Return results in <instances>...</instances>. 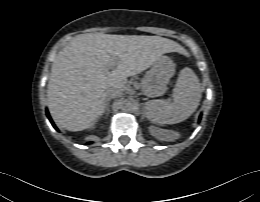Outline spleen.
Returning a JSON list of instances; mask_svg holds the SVG:
<instances>
[{
  "label": "spleen",
  "mask_w": 260,
  "mask_h": 202,
  "mask_svg": "<svg viewBox=\"0 0 260 202\" xmlns=\"http://www.w3.org/2000/svg\"><path fill=\"white\" fill-rule=\"evenodd\" d=\"M173 101L150 100L145 103L147 117L154 123L174 124L186 120L197 109L201 88L196 74L188 67L179 73Z\"/></svg>",
  "instance_id": "obj_1"
}]
</instances>
